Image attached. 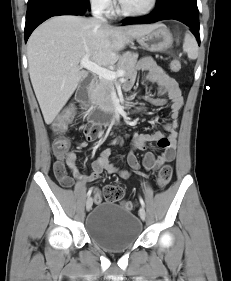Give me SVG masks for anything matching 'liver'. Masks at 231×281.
Listing matches in <instances>:
<instances>
[{
    "instance_id": "1",
    "label": "liver",
    "mask_w": 231,
    "mask_h": 281,
    "mask_svg": "<svg viewBox=\"0 0 231 281\" xmlns=\"http://www.w3.org/2000/svg\"><path fill=\"white\" fill-rule=\"evenodd\" d=\"M159 24L111 27L96 18L52 17L41 24L27 43L31 83L46 124L65 106L86 72L81 59L99 66L113 65L118 52L134 38Z\"/></svg>"
}]
</instances>
